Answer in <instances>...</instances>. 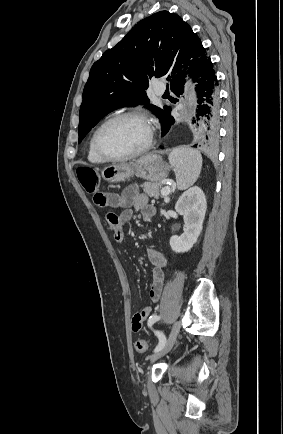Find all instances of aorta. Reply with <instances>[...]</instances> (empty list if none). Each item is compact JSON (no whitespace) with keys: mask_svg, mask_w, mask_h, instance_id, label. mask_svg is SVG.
I'll use <instances>...</instances> for the list:
<instances>
[{"mask_svg":"<svg viewBox=\"0 0 283 434\" xmlns=\"http://www.w3.org/2000/svg\"><path fill=\"white\" fill-rule=\"evenodd\" d=\"M188 84H189V87H190L189 95H188V102H189V106L191 107L192 104H193L194 101H195V90H194V88L192 87V82H191V80H188Z\"/></svg>","mask_w":283,"mask_h":434,"instance_id":"aorta-1","label":"aorta"}]
</instances>
